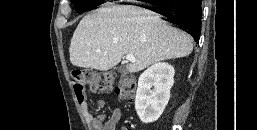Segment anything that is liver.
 <instances>
[{"label": "liver", "instance_id": "1", "mask_svg": "<svg viewBox=\"0 0 257 130\" xmlns=\"http://www.w3.org/2000/svg\"><path fill=\"white\" fill-rule=\"evenodd\" d=\"M192 50V38L160 15L135 6H112L82 18L69 52L74 66L100 71L113 68L131 54L136 61L126 68L136 73L160 61L188 56Z\"/></svg>", "mask_w": 257, "mask_h": 130}]
</instances>
